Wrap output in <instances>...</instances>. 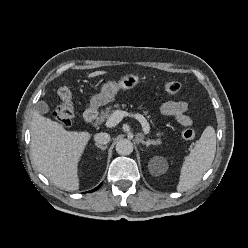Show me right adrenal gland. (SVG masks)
<instances>
[{
  "mask_svg": "<svg viewBox=\"0 0 248 248\" xmlns=\"http://www.w3.org/2000/svg\"><path fill=\"white\" fill-rule=\"evenodd\" d=\"M95 146L100 148L102 151L106 150V148H107V146H102V145H100L98 143H95Z\"/></svg>",
  "mask_w": 248,
  "mask_h": 248,
  "instance_id": "1",
  "label": "right adrenal gland"
}]
</instances>
